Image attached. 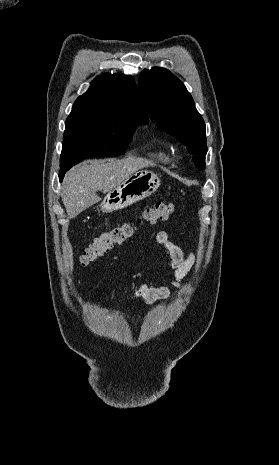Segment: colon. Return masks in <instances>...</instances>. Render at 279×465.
Listing matches in <instances>:
<instances>
[{"instance_id": "obj_1", "label": "colon", "mask_w": 279, "mask_h": 465, "mask_svg": "<svg viewBox=\"0 0 279 465\" xmlns=\"http://www.w3.org/2000/svg\"><path fill=\"white\" fill-rule=\"evenodd\" d=\"M175 210V205L172 203L157 202L152 207L146 209L137 219L136 223L123 224L100 233L82 253L80 257L81 263L84 266L93 263L114 246L121 245L129 240L135 234L138 226L144 224L152 225L158 221L166 220Z\"/></svg>"}]
</instances>
